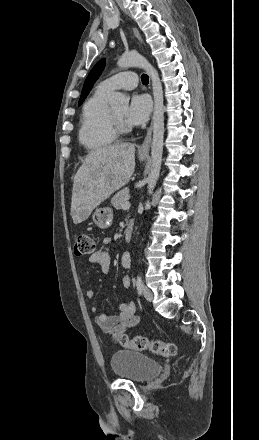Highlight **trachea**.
<instances>
[{
  "instance_id": "obj_1",
  "label": "trachea",
  "mask_w": 259,
  "mask_h": 440,
  "mask_svg": "<svg viewBox=\"0 0 259 440\" xmlns=\"http://www.w3.org/2000/svg\"><path fill=\"white\" fill-rule=\"evenodd\" d=\"M141 80H142V82H143L144 84H148V82H149V77H148V75H146V74H142V76H141Z\"/></svg>"
}]
</instances>
